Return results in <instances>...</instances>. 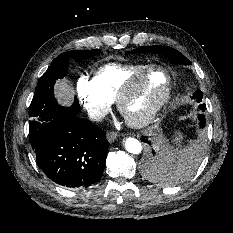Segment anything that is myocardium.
<instances>
[{
  "instance_id": "1",
  "label": "myocardium",
  "mask_w": 233,
  "mask_h": 233,
  "mask_svg": "<svg viewBox=\"0 0 233 233\" xmlns=\"http://www.w3.org/2000/svg\"><path fill=\"white\" fill-rule=\"evenodd\" d=\"M157 73H162L166 78L165 86L152 105L136 117H129L125 114L126 102L137 90L144 87ZM172 92V78L169 72L162 67H150L142 74L126 82L117 94L115 99L116 108L128 125L134 128H141L148 125L155 119L164 105L167 103Z\"/></svg>"
}]
</instances>
